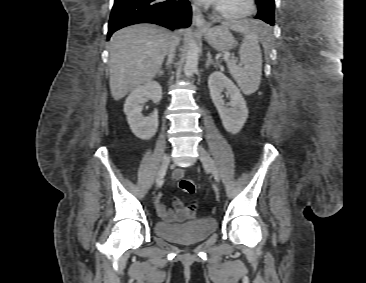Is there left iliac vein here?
<instances>
[{"label":"left iliac vein","mask_w":366,"mask_h":283,"mask_svg":"<svg viewBox=\"0 0 366 283\" xmlns=\"http://www.w3.org/2000/svg\"><path fill=\"white\" fill-rule=\"evenodd\" d=\"M198 152L201 162L209 169L215 180L218 182L220 180V177L214 160L202 146L198 147Z\"/></svg>","instance_id":"obj_1"}]
</instances>
